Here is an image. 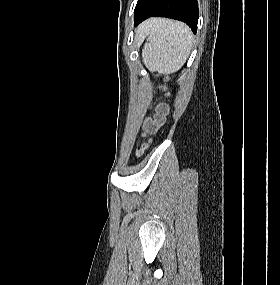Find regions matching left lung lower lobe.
<instances>
[{
  "label": "left lung lower lobe",
  "instance_id": "obj_1",
  "mask_svg": "<svg viewBox=\"0 0 280 285\" xmlns=\"http://www.w3.org/2000/svg\"><path fill=\"white\" fill-rule=\"evenodd\" d=\"M149 17H168L185 22L194 33L197 30V0H138L134 12L137 26Z\"/></svg>",
  "mask_w": 280,
  "mask_h": 285
}]
</instances>
